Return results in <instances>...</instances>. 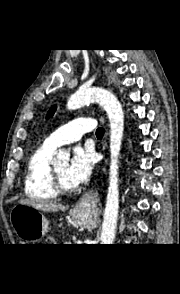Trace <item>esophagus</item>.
<instances>
[{"mask_svg": "<svg viewBox=\"0 0 180 294\" xmlns=\"http://www.w3.org/2000/svg\"><path fill=\"white\" fill-rule=\"evenodd\" d=\"M100 200L96 189L91 188L85 192L79 199L74 208V213L98 217L101 213Z\"/></svg>", "mask_w": 180, "mask_h": 294, "instance_id": "1", "label": "esophagus"}]
</instances>
